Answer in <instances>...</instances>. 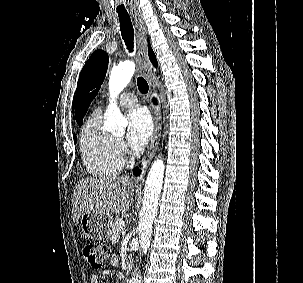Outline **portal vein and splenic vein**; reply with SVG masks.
<instances>
[{
	"label": "portal vein and splenic vein",
	"instance_id": "1",
	"mask_svg": "<svg viewBox=\"0 0 303 283\" xmlns=\"http://www.w3.org/2000/svg\"><path fill=\"white\" fill-rule=\"evenodd\" d=\"M126 231H127L126 228H123V229H122V234H125Z\"/></svg>",
	"mask_w": 303,
	"mask_h": 283
}]
</instances>
